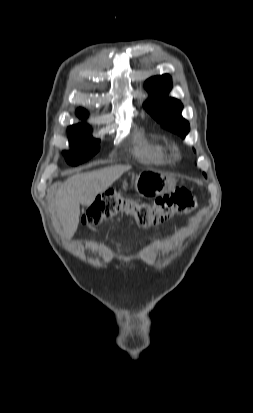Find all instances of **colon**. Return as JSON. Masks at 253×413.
<instances>
[{"mask_svg": "<svg viewBox=\"0 0 253 413\" xmlns=\"http://www.w3.org/2000/svg\"><path fill=\"white\" fill-rule=\"evenodd\" d=\"M193 195L185 188L159 196L153 203H144L110 191L99 196L82 216L84 223L96 224L117 214L132 217L141 227L158 225L175 214L190 213L195 207Z\"/></svg>", "mask_w": 253, "mask_h": 413, "instance_id": "obj_1", "label": "colon"}]
</instances>
